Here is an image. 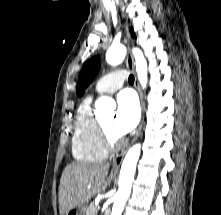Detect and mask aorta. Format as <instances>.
<instances>
[{
    "label": "aorta",
    "mask_w": 221,
    "mask_h": 215,
    "mask_svg": "<svg viewBox=\"0 0 221 215\" xmlns=\"http://www.w3.org/2000/svg\"><path fill=\"white\" fill-rule=\"evenodd\" d=\"M126 47L122 44L112 45L106 53V61L110 65H118L122 63L126 56ZM132 53L135 58L136 72L138 80L143 88L147 85V62L139 48H133ZM114 101L106 96L100 97L96 103L97 111L105 109L107 106L114 107ZM141 153V145L135 144L127 152L120 170L119 188L115 194V200L112 207L111 215H121L124 205L130 195L132 182L134 180L136 165Z\"/></svg>",
    "instance_id": "obj_1"
}]
</instances>
